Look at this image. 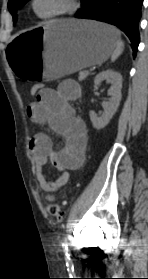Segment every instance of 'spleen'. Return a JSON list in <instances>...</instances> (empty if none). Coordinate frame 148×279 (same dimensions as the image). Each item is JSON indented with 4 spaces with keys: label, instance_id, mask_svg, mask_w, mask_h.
Returning a JSON list of instances; mask_svg holds the SVG:
<instances>
[{
    "label": "spleen",
    "instance_id": "obj_1",
    "mask_svg": "<svg viewBox=\"0 0 148 279\" xmlns=\"http://www.w3.org/2000/svg\"><path fill=\"white\" fill-rule=\"evenodd\" d=\"M123 50H124V43L119 39L111 55V61H115L122 54Z\"/></svg>",
    "mask_w": 148,
    "mask_h": 279
}]
</instances>
